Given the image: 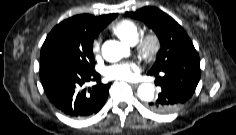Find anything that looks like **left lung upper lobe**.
Here are the masks:
<instances>
[{
  "mask_svg": "<svg viewBox=\"0 0 236 135\" xmlns=\"http://www.w3.org/2000/svg\"><path fill=\"white\" fill-rule=\"evenodd\" d=\"M129 17L144 21L157 34L161 49L149 72H161L173 66L185 65L193 55L194 45L183 28L169 15L156 7H144L127 12Z\"/></svg>",
  "mask_w": 236,
  "mask_h": 135,
  "instance_id": "left-lung-upper-lobe-1",
  "label": "left lung upper lobe"
}]
</instances>
